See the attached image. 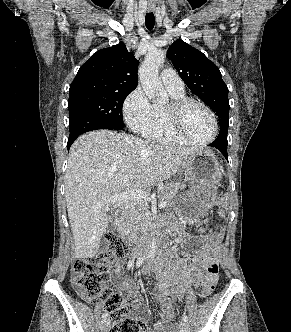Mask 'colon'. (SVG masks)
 I'll return each instance as SVG.
<instances>
[{
  "mask_svg": "<svg viewBox=\"0 0 291 332\" xmlns=\"http://www.w3.org/2000/svg\"><path fill=\"white\" fill-rule=\"evenodd\" d=\"M107 246L94 257L82 259L73 265L71 282L75 290L93 303H105L111 321L110 332H143V326L130 318V304L126 300V290L110 292L108 268L114 261L124 258L128 246L126 241L115 233L106 236ZM218 267L212 270L211 278L202 287V296H209L218 280Z\"/></svg>",
  "mask_w": 291,
  "mask_h": 332,
  "instance_id": "colon-1",
  "label": "colon"
}]
</instances>
